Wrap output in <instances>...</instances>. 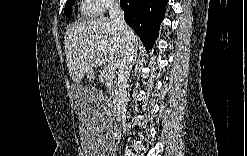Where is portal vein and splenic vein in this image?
I'll list each match as a JSON object with an SVG mask.
<instances>
[{
	"mask_svg": "<svg viewBox=\"0 0 247 156\" xmlns=\"http://www.w3.org/2000/svg\"><path fill=\"white\" fill-rule=\"evenodd\" d=\"M106 70L108 72H114L116 70V65L115 63H108L107 66H106Z\"/></svg>",
	"mask_w": 247,
	"mask_h": 156,
	"instance_id": "1",
	"label": "portal vein and splenic vein"
}]
</instances>
